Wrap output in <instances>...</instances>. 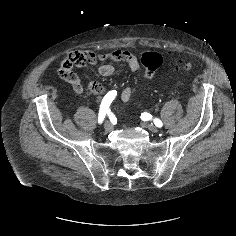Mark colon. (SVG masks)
<instances>
[{"instance_id": "1", "label": "colon", "mask_w": 236, "mask_h": 236, "mask_svg": "<svg viewBox=\"0 0 236 236\" xmlns=\"http://www.w3.org/2000/svg\"><path fill=\"white\" fill-rule=\"evenodd\" d=\"M140 61L145 67L146 76L152 78L155 72L160 68L163 63V57L161 54L155 51H144L140 55ZM194 64L190 61L180 60L178 61V67L182 70L189 71L193 68ZM71 68V64L68 61H63L60 66L59 73L63 77L66 72Z\"/></svg>"}]
</instances>
